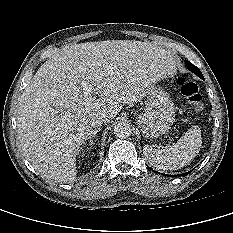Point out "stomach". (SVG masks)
Segmentation results:
<instances>
[{
	"instance_id": "1",
	"label": "stomach",
	"mask_w": 233,
	"mask_h": 233,
	"mask_svg": "<svg viewBox=\"0 0 233 233\" xmlns=\"http://www.w3.org/2000/svg\"><path fill=\"white\" fill-rule=\"evenodd\" d=\"M144 112L137 123L146 138L153 139L169 131L174 122V104L170 96L159 86L147 92Z\"/></svg>"
}]
</instances>
